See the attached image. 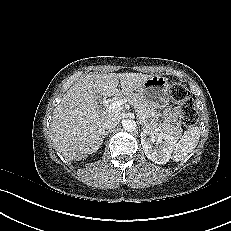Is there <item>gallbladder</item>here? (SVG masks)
<instances>
[{
    "mask_svg": "<svg viewBox=\"0 0 231 231\" xmlns=\"http://www.w3.org/2000/svg\"><path fill=\"white\" fill-rule=\"evenodd\" d=\"M95 96H96V99H100V95L96 94Z\"/></svg>",
    "mask_w": 231,
    "mask_h": 231,
    "instance_id": "gallbladder-1",
    "label": "gallbladder"
}]
</instances>
